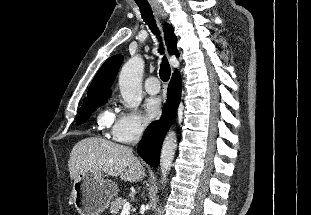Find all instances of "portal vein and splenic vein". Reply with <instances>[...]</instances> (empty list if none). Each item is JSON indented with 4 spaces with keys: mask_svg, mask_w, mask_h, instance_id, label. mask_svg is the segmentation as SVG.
I'll use <instances>...</instances> for the list:
<instances>
[{
    "mask_svg": "<svg viewBox=\"0 0 311 215\" xmlns=\"http://www.w3.org/2000/svg\"><path fill=\"white\" fill-rule=\"evenodd\" d=\"M130 209H131L130 203L126 202V203L123 205V209H122V212H121L120 215H129Z\"/></svg>",
    "mask_w": 311,
    "mask_h": 215,
    "instance_id": "1",
    "label": "portal vein and splenic vein"
}]
</instances>
